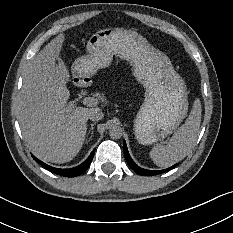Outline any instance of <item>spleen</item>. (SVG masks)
I'll use <instances>...</instances> for the list:
<instances>
[{"label": "spleen", "instance_id": "spleen-1", "mask_svg": "<svg viewBox=\"0 0 233 233\" xmlns=\"http://www.w3.org/2000/svg\"><path fill=\"white\" fill-rule=\"evenodd\" d=\"M201 101L195 98L186 121L175 131L167 145L159 144L151 151V156L160 167L176 164L188 155L195 146L200 132Z\"/></svg>", "mask_w": 233, "mask_h": 233}]
</instances>
